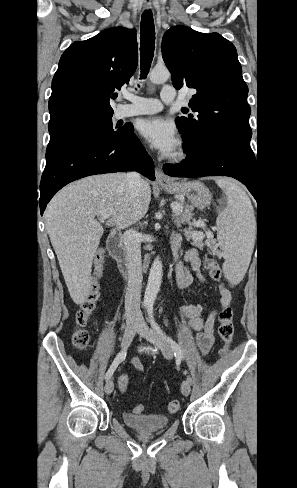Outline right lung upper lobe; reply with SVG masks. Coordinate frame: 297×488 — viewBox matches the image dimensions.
Returning a JSON list of instances; mask_svg holds the SVG:
<instances>
[{
  "instance_id": "right-lung-upper-lobe-1",
  "label": "right lung upper lobe",
  "mask_w": 297,
  "mask_h": 488,
  "mask_svg": "<svg viewBox=\"0 0 297 488\" xmlns=\"http://www.w3.org/2000/svg\"><path fill=\"white\" fill-rule=\"evenodd\" d=\"M138 63L136 31L110 28L72 43L61 56L49 99V132L113 115L112 94Z\"/></svg>"
}]
</instances>
